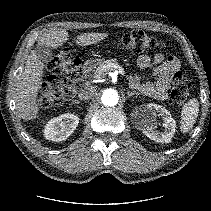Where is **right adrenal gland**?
<instances>
[{
	"label": "right adrenal gland",
	"instance_id": "obj_1",
	"mask_svg": "<svg viewBox=\"0 0 211 211\" xmlns=\"http://www.w3.org/2000/svg\"><path fill=\"white\" fill-rule=\"evenodd\" d=\"M73 104H81V102L78 101V100H73L72 103H71L70 105H73Z\"/></svg>",
	"mask_w": 211,
	"mask_h": 211
}]
</instances>
